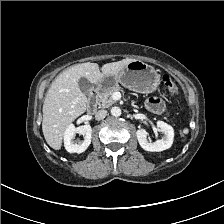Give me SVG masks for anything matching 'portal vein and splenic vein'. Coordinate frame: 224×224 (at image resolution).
Segmentation results:
<instances>
[{
	"label": "portal vein and splenic vein",
	"instance_id": "portal-vein-and-splenic-vein-1",
	"mask_svg": "<svg viewBox=\"0 0 224 224\" xmlns=\"http://www.w3.org/2000/svg\"><path fill=\"white\" fill-rule=\"evenodd\" d=\"M112 97L114 100H119V99H121V94H120V92H115V93H113Z\"/></svg>",
	"mask_w": 224,
	"mask_h": 224
}]
</instances>
